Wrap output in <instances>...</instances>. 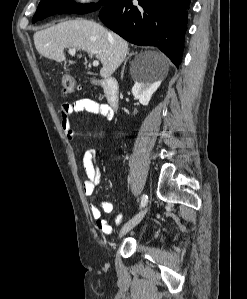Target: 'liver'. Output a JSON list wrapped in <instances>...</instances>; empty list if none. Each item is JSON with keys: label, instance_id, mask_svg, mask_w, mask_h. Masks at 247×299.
<instances>
[{"label": "liver", "instance_id": "1", "mask_svg": "<svg viewBox=\"0 0 247 299\" xmlns=\"http://www.w3.org/2000/svg\"><path fill=\"white\" fill-rule=\"evenodd\" d=\"M34 44L39 54L57 62H65V48L88 51L102 63L100 76L111 77L128 54V43L119 35L108 31L95 21L75 19L64 21L37 31ZM154 58L160 70V77L167 75L169 67L166 57L155 51L147 52ZM69 60V64H74Z\"/></svg>", "mask_w": 247, "mask_h": 299}]
</instances>
